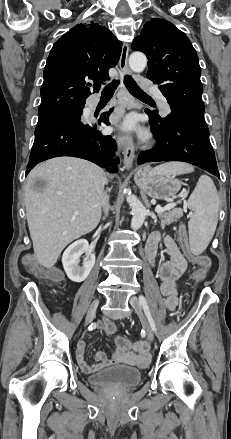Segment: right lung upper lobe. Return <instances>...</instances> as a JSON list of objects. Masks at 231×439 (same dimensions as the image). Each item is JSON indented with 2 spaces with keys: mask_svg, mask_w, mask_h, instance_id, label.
Returning <instances> with one entry per match:
<instances>
[{
  "mask_svg": "<svg viewBox=\"0 0 231 439\" xmlns=\"http://www.w3.org/2000/svg\"><path fill=\"white\" fill-rule=\"evenodd\" d=\"M122 43L106 27L91 21L78 24L52 47L44 68L38 120L80 110L101 83L109 79L108 70L119 61Z\"/></svg>",
  "mask_w": 231,
  "mask_h": 439,
  "instance_id": "obj_1",
  "label": "right lung upper lobe"
}]
</instances>
